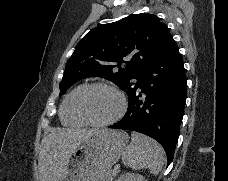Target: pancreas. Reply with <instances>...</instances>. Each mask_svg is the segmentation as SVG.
<instances>
[{"label":"pancreas","instance_id":"pancreas-1","mask_svg":"<svg viewBox=\"0 0 228 181\" xmlns=\"http://www.w3.org/2000/svg\"><path fill=\"white\" fill-rule=\"evenodd\" d=\"M116 171H115V169H112V171H110V173H109V177H108V179H109V181H113V179H114V177H116Z\"/></svg>","mask_w":228,"mask_h":181}]
</instances>
